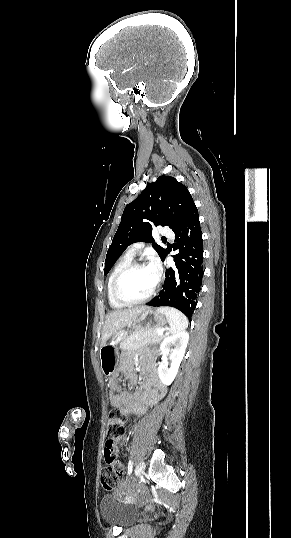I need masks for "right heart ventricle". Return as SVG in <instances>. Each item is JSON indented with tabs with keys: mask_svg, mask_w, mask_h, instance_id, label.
Wrapping results in <instances>:
<instances>
[{
	"mask_svg": "<svg viewBox=\"0 0 291 538\" xmlns=\"http://www.w3.org/2000/svg\"><path fill=\"white\" fill-rule=\"evenodd\" d=\"M132 259H133V257L129 256L128 254H126V253L123 254L117 260V262L114 264V266L112 267L111 272L109 274V277H108V280H107L106 291H107V298H108L109 304L113 308H121V307L124 306L123 304H120L119 302H117L113 297V293H112L113 281H114L115 277L117 276V274L123 268H125L127 265H129L132 262Z\"/></svg>",
	"mask_w": 291,
	"mask_h": 538,
	"instance_id": "right-heart-ventricle-1",
	"label": "right heart ventricle"
}]
</instances>
